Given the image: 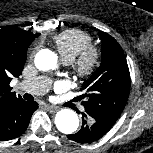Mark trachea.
Segmentation results:
<instances>
[{"instance_id":"1","label":"trachea","mask_w":153,"mask_h":153,"mask_svg":"<svg viewBox=\"0 0 153 153\" xmlns=\"http://www.w3.org/2000/svg\"><path fill=\"white\" fill-rule=\"evenodd\" d=\"M32 96L30 94H24V99L25 100H31Z\"/></svg>"}]
</instances>
